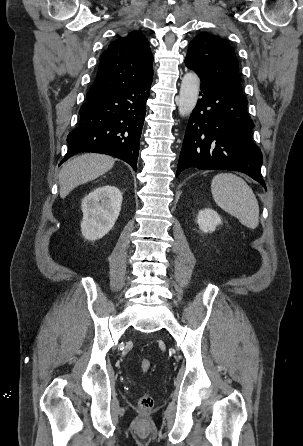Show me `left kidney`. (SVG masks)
<instances>
[{"label": "left kidney", "mask_w": 303, "mask_h": 446, "mask_svg": "<svg viewBox=\"0 0 303 446\" xmlns=\"http://www.w3.org/2000/svg\"><path fill=\"white\" fill-rule=\"evenodd\" d=\"M197 223L202 232L211 233L216 230V227L220 225L222 221L215 210L206 208L198 212Z\"/></svg>", "instance_id": "obj_1"}]
</instances>
